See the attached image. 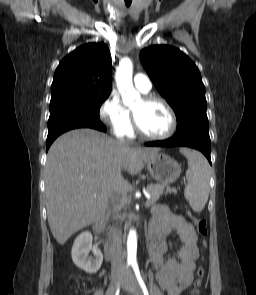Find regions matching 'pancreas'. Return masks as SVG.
<instances>
[{
  "mask_svg": "<svg viewBox=\"0 0 256 295\" xmlns=\"http://www.w3.org/2000/svg\"><path fill=\"white\" fill-rule=\"evenodd\" d=\"M147 191L151 195L148 206H152L157 202L162 194L171 193L174 190L164 184H151L147 187Z\"/></svg>",
  "mask_w": 256,
  "mask_h": 295,
  "instance_id": "cf45deb5",
  "label": "pancreas"
}]
</instances>
